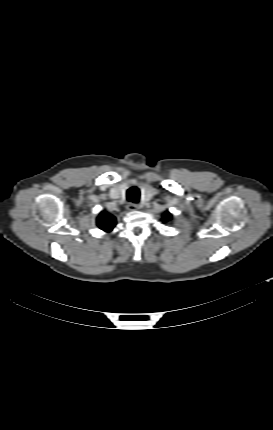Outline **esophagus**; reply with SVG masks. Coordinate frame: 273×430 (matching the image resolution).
Listing matches in <instances>:
<instances>
[{"mask_svg":"<svg viewBox=\"0 0 273 430\" xmlns=\"http://www.w3.org/2000/svg\"><path fill=\"white\" fill-rule=\"evenodd\" d=\"M127 209L129 211H135V210L139 209V205L135 204V203H130V204H128Z\"/></svg>","mask_w":273,"mask_h":430,"instance_id":"esophagus-1","label":"esophagus"}]
</instances>
